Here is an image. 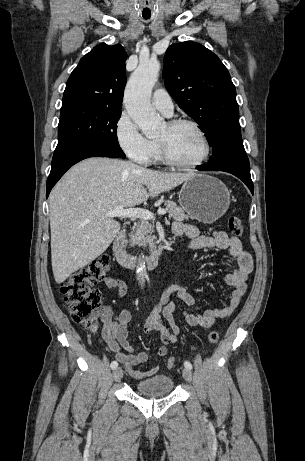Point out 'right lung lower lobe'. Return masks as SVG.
I'll list each match as a JSON object with an SVG mask.
<instances>
[{"label": "right lung lower lobe", "mask_w": 305, "mask_h": 461, "mask_svg": "<svg viewBox=\"0 0 305 461\" xmlns=\"http://www.w3.org/2000/svg\"><path fill=\"white\" fill-rule=\"evenodd\" d=\"M89 157L124 158L122 155L96 144H79L67 148L56 149L46 185V197L63 174L77 162Z\"/></svg>", "instance_id": "right-lung-lower-lobe-1"}]
</instances>
